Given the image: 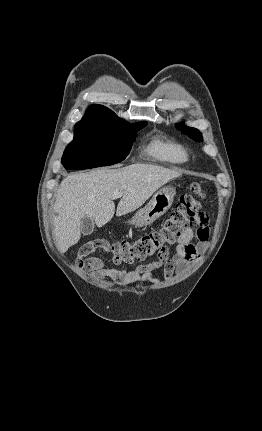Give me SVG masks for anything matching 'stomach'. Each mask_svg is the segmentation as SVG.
<instances>
[{
  "mask_svg": "<svg viewBox=\"0 0 262 431\" xmlns=\"http://www.w3.org/2000/svg\"><path fill=\"white\" fill-rule=\"evenodd\" d=\"M175 196L173 187H163L158 190L145 207L139 209L129 220L136 227L151 225L171 207Z\"/></svg>",
  "mask_w": 262,
  "mask_h": 431,
  "instance_id": "1",
  "label": "stomach"
}]
</instances>
